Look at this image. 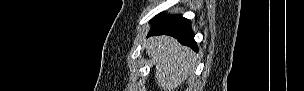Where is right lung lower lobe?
<instances>
[{
	"label": "right lung lower lobe",
	"instance_id": "right-lung-lower-lobe-1",
	"mask_svg": "<svg viewBox=\"0 0 304 91\" xmlns=\"http://www.w3.org/2000/svg\"><path fill=\"white\" fill-rule=\"evenodd\" d=\"M170 35L181 44L191 47L197 51L194 34L190 27V21L181 15L164 16L162 13L153 19L148 36Z\"/></svg>",
	"mask_w": 304,
	"mask_h": 91
}]
</instances>
